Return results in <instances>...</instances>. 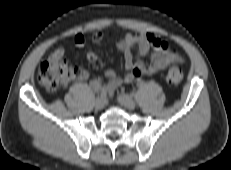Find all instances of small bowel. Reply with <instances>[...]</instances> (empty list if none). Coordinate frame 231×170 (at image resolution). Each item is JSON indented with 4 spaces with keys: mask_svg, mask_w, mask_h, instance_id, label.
<instances>
[{
    "mask_svg": "<svg viewBox=\"0 0 231 170\" xmlns=\"http://www.w3.org/2000/svg\"><path fill=\"white\" fill-rule=\"evenodd\" d=\"M104 38L102 32L94 33L92 40L95 44H101ZM76 47H84L85 37L78 33L74 36ZM117 48L124 54L125 73L120 76L114 70L109 69L105 75L107 81L96 77L89 81L94 90H104L106 94L112 95L114 91L122 84H130L134 80L144 76L155 74L173 62H182V59L175 53L169 51V43L160 36L149 32H137L126 34L117 43ZM133 51H136L134 58ZM64 49H55L48 58L49 62H60L64 57ZM149 55V61L144 62L143 58ZM87 59L90 62H96L98 56L95 52L89 51Z\"/></svg>",
    "mask_w": 231,
    "mask_h": 170,
    "instance_id": "small-bowel-1",
    "label": "small bowel"
}]
</instances>
